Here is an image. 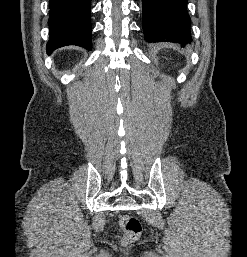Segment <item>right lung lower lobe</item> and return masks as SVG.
<instances>
[{
	"mask_svg": "<svg viewBox=\"0 0 247 257\" xmlns=\"http://www.w3.org/2000/svg\"><path fill=\"white\" fill-rule=\"evenodd\" d=\"M49 8L47 53L67 45L91 50L90 0H49Z\"/></svg>",
	"mask_w": 247,
	"mask_h": 257,
	"instance_id": "obj_1",
	"label": "right lung lower lobe"
}]
</instances>
